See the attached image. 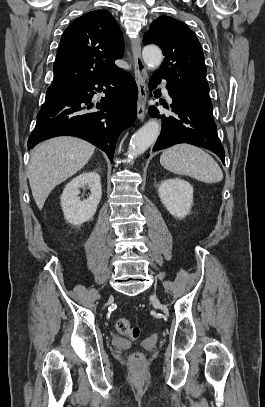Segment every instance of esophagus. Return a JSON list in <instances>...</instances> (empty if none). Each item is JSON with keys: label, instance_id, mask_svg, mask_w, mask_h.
<instances>
[{"label": "esophagus", "instance_id": "1", "mask_svg": "<svg viewBox=\"0 0 265 407\" xmlns=\"http://www.w3.org/2000/svg\"><path fill=\"white\" fill-rule=\"evenodd\" d=\"M132 53L134 59V75L138 87L137 117L139 120H143L146 114L147 71L141 56V39L139 36L132 40Z\"/></svg>", "mask_w": 265, "mask_h": 407}]
</instances>
